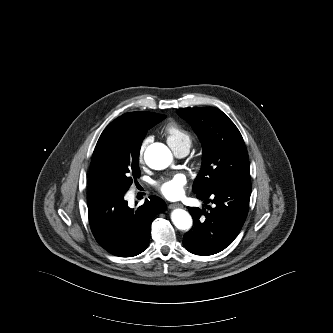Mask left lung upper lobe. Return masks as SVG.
I'll return each mask as SVG.
<instances>
[{
	"label": "left lung upper lobe",
	"mask_w": 333,
	"mask_h": 333,
	"mask_svg": "<svg viewBox=\"0 0 333 333\" xmlns=\"http://www.w3.org/2000/svg\"><path fill=\"white\" fill-rule=\"evenodd\" d=\"M177 113L191 124L203 145V162L193 184L194 193H207L232 181L250 179L243 138L221 110L183 108Z\"/></svg>",
	"instance_id": "left-lung-upper-lobe-1"
}]
</instances>
